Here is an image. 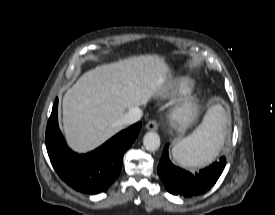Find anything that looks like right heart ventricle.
<instances>
[{"label":"right heart ventricle","mask_w":275,"mask_h":215,"mask_svg":"<svg viewBox=\"0 0 275 215\" xmlns=\"http://www.w3.org/2000/svg\"><path fill=\"white\" fill-rule=\"evenodd\" d=\"M195 88L193 80L187 77L177 79L169 90V96H183L191 93Z\"/></svg>","instance_id":"obj_1"}]
</instances>
